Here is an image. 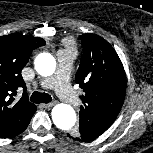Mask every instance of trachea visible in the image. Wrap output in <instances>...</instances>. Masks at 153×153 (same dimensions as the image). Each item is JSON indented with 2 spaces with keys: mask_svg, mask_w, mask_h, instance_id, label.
<instances>
[{
  "mask_svg": "<svg viewBox=\"0 0 153 153\" xmlns=\"http://www.w3.org/2000/svg\"><path fill=\"white\" fill-rule=\"evenodd\" d=\"M30 100L34 103H49L52 101V97L47 93H40L35 91L32 93Z\"/></svg>",
  "mask_w": 153,
  "mask_h": 153,
  "instance_id": "1",
  "label": "trachea"
}]
</instances>
